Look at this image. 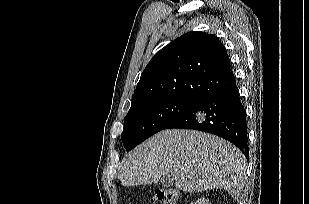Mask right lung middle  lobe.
<instances>
[{
	"instance_id": "1",
	"label": "right lung middle lobe",
	"mask_w": 309,
	"mask_h": 204,
	"mask_svg": "<svg viewBox=\"0 0 309 204\" xmlns=\"http://www.w3.org/2000/svg\"><path fill=\"white\" fill-rule=\"evenodd\" d=\"M198 100L184 97L154 98L131 105L124 120L121 139L125 149L135 146L163 130Z\"/></svg>"
}]
</instances>
